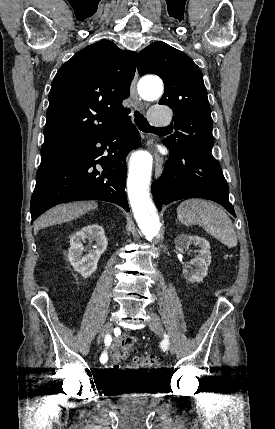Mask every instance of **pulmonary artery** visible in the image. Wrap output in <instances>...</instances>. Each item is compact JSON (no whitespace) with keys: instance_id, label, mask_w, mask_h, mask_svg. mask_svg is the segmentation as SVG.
I'll return each mask as SVG.
<instances>
[{"instance_id":"e3ab8cb5","label":"pulmonary artery","mask_w":275,"mask_h":429,"mask_svg":"<svg viewBox=\"0 0 275 429\" xmlns=\"http://www.w3.org/2000/svg\"><path fill=\"white\" fill-rule=\"evenodd\" d=\"M149 120L152 125L162 127L170 123V116L163 108L154 107L149 111Z\"/></svg>"}]
</instances>
